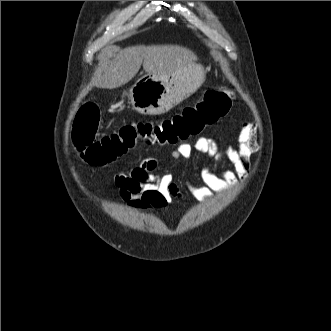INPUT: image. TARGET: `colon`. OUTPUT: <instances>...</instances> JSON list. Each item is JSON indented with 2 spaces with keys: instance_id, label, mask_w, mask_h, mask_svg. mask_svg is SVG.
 <instances>
[{
  "instance_id": "obj_1",
  "label": "colon",
  "mask_w": 331,
  "mask_h": 331,
  "mask_svg": "<svg viewBox=\"0 0 331 331\" xmlns=\"http://www.w3.org/2000/svg\"><path fill=\"white\" fill-rule=\"evenodd\" d=\"M233 99V94L226 89L210 90L195 106L170 118L128 124L99 138L100 110L95 103L87 102L80 107L74 120L72 142L87 164L106 165L125 155L139 141L172 145L200 134L228 114Z\"/></svg>"
}]
</instances>
